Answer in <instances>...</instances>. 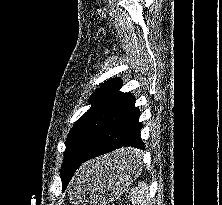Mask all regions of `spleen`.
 <instances>
[{
  "label": "spleen",
  "instance_id": "3e777b00",
  "mask_svg": "<svg viewBox=\"0 0 222 205\" xmlns=\"http://www.w3.org/2000/svg\"><path fill=\"white\" fill-rule=\"evenodd\" d=\"M148 185L142 182L138 187L132 189L131 200L134 205H152L148 194Z\"/></svg>",
  "mask_w": 222,
  "mask_h": 205
}]
</instances>
